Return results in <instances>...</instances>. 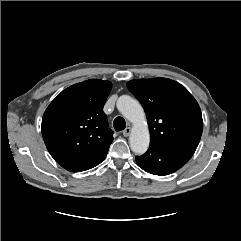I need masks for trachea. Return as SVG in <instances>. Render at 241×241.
Instances as JSON below:
<instances>
[{"label": "trachea", "mask_w": 241, "mask_h": 241, "mask_svg": "<svg viewBox=\"0 0 241 241\" xmlns=\"http://www.w3.org/2000/svg\"><path fill=\"white\" fill-rule=\"evenodd\" d=\"M113 126L116 131H122L126 127V122L123 117H116L114 119Z\"/></svg>", "instance_id": "obj_1"}]
</instances>
